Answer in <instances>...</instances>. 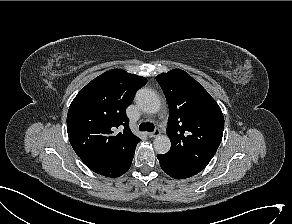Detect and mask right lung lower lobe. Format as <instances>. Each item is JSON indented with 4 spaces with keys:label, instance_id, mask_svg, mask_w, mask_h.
I'll use <instances>...</instances> for the list:
<instances>
[{
    "label": "right lung lower lobe",
    "instance_id": "98d812e1",
    "mask_svg": "<svg viewBox=\"0 0 292 224\" xmlns=\"http://www.w3.org/2000/svg\"><path fill=\"white\" fill-rule=\"evenodd\" d=\"M135 149L125 155L92 156L79 155L84 164L97 174L106 177H119L131 166Z\"/></svg>",
    "mask_w": 292,
    "mask_h": 224
}]
</instances>
